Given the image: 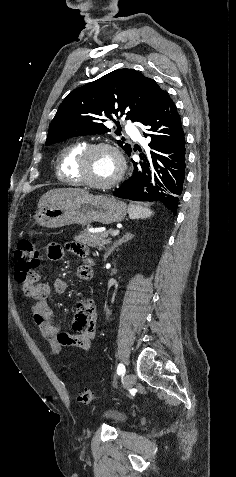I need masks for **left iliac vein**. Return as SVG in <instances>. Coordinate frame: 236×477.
Returning a JSON list of instances; mask_svg holds the SVG:
<instances>
[{
	"label": "left iliac vein",
	"mask_w": 236,
	"mask_h": 477,
	"mask_svg": "<svg viewBox=\"0 0 236 477\" xmlns=\"http://www.w3.org/2000/svg\"><path fill=\"white\" fill-rule=\"evenodd\" d=\"M135 383V376L132 373H129L125 376L124 386L125 388H131Z\"/></svg>",
	"instance_id": "1"
}]
</instances>
